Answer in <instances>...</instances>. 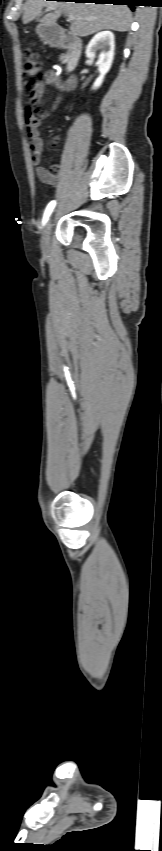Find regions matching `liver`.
<instances>
[{
  "label": "liver",
  "instance_id": "liver-1",
  "mask_svg": "<svg viewBox=\"0 0 162 851\" xmlns=\"http://www.w3.org/2000/svg\"><path fill=\"white\" fill-rule=\"evenodd\" d=\"M43 7L51 8L49 10H53V13L45 15L41 23L53 25L62 12L68 13L75 17L70 30L80 37L106 29L125 32L131 24V12L126 5L46 0H27L23 7V23L28 24L40 16Z\"/></svg>",
  "mask_w": 162,
  "mask_h": 851
}]
</instances>
